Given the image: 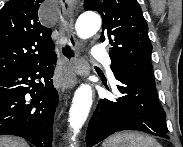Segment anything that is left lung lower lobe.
Instances as JSON below:
<instances>
[{
	"label": "left lung lower lobe",
	"mask_w": 183,
	"mask_h": 147,
	"mask_svg": "<svg viewBox=\"0 0 183 147\" xmlns=\"http://www.w3.org/2000/svg\"><path fill=\"white\" fill-rule=\"evenodd\" d=\"M122 97L101 99L89 122L87 146H93L111 134L138 130L169 138L166 114L159 104L154 79L128 70H113Z\"/></svg>",
	"instance_id": "0a47b994"
}]
</instances>
